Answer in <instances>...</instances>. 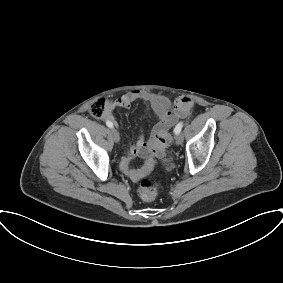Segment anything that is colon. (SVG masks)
Returning a JSON list of instances; mask_svg holds the SVG:
<instances>
[{"label": "colon", "instance_id": "1", "mask_svg": "<svg viewBox=\"0 0 283 283\" xmlns=\"http://www.w3.org/2000/svg\"><path fill=\"white\" fill-rule=\"evenodd\" d=\"M177 108L181 109L183 106H177ZM91 116L95 118H101L105 115L106 105L104 101L99 100L93 103L89 110ZM169 124L162 127L156 134L155 140L152 144V160L155 162L160 159L165 151L167 146L171 141L170 134L168 132ZM138 194L140 198L144 201L151 202L154 201L159 195V182L154 177L145 178L139 188Z\"/></svg>", "mask_w": 283, "mask_h": 283}]
</instances>
